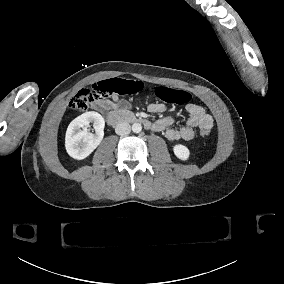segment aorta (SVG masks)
<instances>
[{
	"label": "aorta",
	"mask_w": 284,
	"mask_h": 284,
	"mask_svg": "<svg viewBox=\"0 0 284 284\" xmlns=\"http://www.w3.org/2000/svg\"><path fill=\"white\" fill-rule=\"evenodd\" d=\"M141 130H142L141 124H139V123H134V124L132 125V131H133L134 133H140Z\"/></svg>",
	"instance_id": "1"
}]
</instances>
